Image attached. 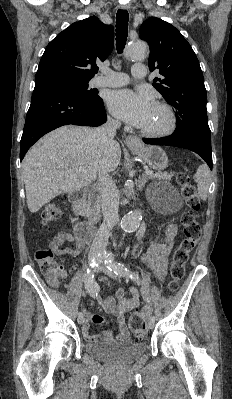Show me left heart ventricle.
<instances>
[{
  "label": "left heart ventricle",
  "instance_id": "1",
  "mask_svg": "<svg viewBox=\"0 0 232 399\" xmlns=\"http://www.w3.org/2000/svg\"><path fill=\"white\" fill-rule=\"evenodd\" d=\"M168 123L166 112L157 105L153 106V111L148 120L138 129L144 132L154 133L163 130Z\"/></svg>",
  "mask_w": 232,
  "mask_h": 399
}]
</instances>
